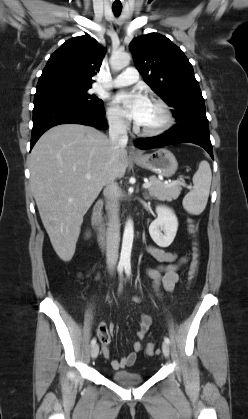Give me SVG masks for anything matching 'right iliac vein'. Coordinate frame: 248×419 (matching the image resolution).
<instances>
[{
	"mask_svg": "<svg viewBox=\"0 0 248 419\" xmlns=\"http://www.w3.org/2000/svg\"><path fill=\"white\" fill-rule=\"evenodd\" d=\"M99 353V346L97 344L93 345L91 348V357L96 359Z\"/></svg>",
	"mask_w": 248,
	"mask_h": 419,
	"instance_id": "right-iliac-vein-1",
	"label": "right iliac vein"
}]
</instances>
